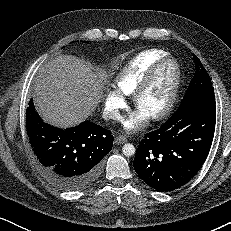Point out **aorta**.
I'll use <instances>...</instances> for the list:
<instances>
[{"mask_svg": "<svg viewBox=\"0 0 231 231\" xmlns=\"http://www.w3.org/2000/svg\"><path fill=\"white\" fill-rule=\"evenodd\" d=\"M122 152L127 157L133 156L135 154V147L134 145L127 143L123 145Z\"/></svg>", "mask_w": 231, "mask_h": 231, "instance_id": "1", "label": "aorta"}]
</instances>
